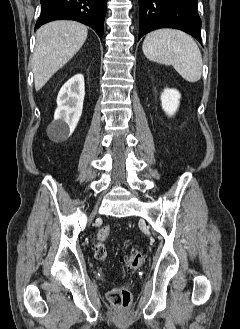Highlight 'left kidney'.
<instances>
[{"instance_id":"1","label":"left kidney","mask_w":240,"mask_h":329,"mask_svg":"<svg viewBox=\"0 0 240 329\" xmlns=\"http://www.w3.org/2000/svg\"><path fill=\"white\" fill-rule=\"evenodd\" d=\"M180 93L176 89L166 88L161 94V106L168 116L174 115L179 106Z\"/></svg>"}]
</instances>
